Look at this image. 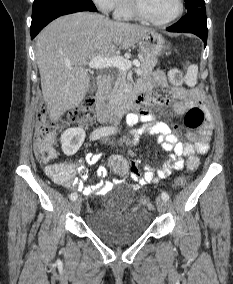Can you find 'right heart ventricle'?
<instances>
[{
    "mask_svg": "<svg viewBox=\"0 0 233 284\" xmlns=\"http://www.w3.org/2000/svg\"><path fill=\"white\" fill-rule=\"evenodd\" d=\"M114 14L116 18L124 20H132L136 17L131 9L130 0H120Z\"/></svg>",
    "mask_w": 233,
    "mask_h": 284,
    "instance_id": "1",
    "label": "right heart ventricle"
}]
</instances>
